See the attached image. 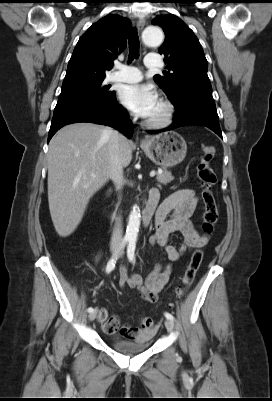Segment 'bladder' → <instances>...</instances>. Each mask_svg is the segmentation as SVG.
I'll use <instances>...</instances> for the list:
<instances>
[{
  "label": "bladder",
  "mask_w": 272,
  "mask_h": 401,
  "mask_svg": "<svg viewBox=\"0 0 272 401\" xmlns=\"http://www.w3.org/2000/svg\"><path fill=\"white\" fill-rule=\"evenodd\" d=\"M152 335L145 336L134 342L113 340L111 345L114 349L124 354H137L146 351L152 343Z\"/></svg>",
  "instance_id": "31cf9c89"
}]
</instances>
